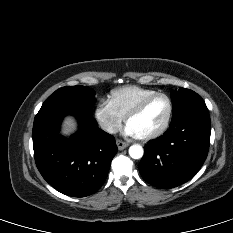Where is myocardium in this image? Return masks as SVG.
Instances as JSON below:
<instances>
[{
  "mask_svg": "<svg viewBox=\"0 0 233 233\" xmlns=\"http://www.w3.org/2000/svg\"><path fill=\"white\" fill-rule=\"evenodd\" d=\"M162 97L167 101L168 104V113L166 116V119L163 123V125L155 132L148 134V135H144V136H137L138 139L142 140V141H150V140H154L159 138L160 136H162L167 129L170 126L172 117H173V102L172 99L170 98L169 95L165 94V93H161V92H157L155 94H152L150 96H148L147 98L143 99L138 105H136L125 117V123L126 125H128L129 121L138 116L140 113H142L144 111V109L155 99Z\"/></svg>",
  "mask_w": 233,
  "mask_h": 233,
  "instance_id": "obj_1",
  "label": "myocardium"
}]
</instances>
